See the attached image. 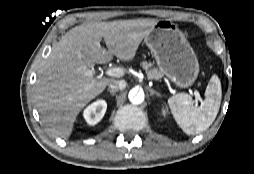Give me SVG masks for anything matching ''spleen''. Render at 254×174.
Listing matches in <instances>:
<instances>
[{"mask_svg": "<svg viewBox=\"0 0 254 174\" xmlns=\"http://www.w3.org/2000/svg\"><path fill=\"white\" fill-rule=\"evenodd\" d=\"M222 90L219 78L213 75L205 91L204 104L197 107L186 93L168 99L171 112L179 127L187 135L199 134L214 122L221 104Z\"/></svg>", "mask_w": 254, "mask_h": 174, "instance_id": "3e777b00", "label": "spleen"}]
</instances>
